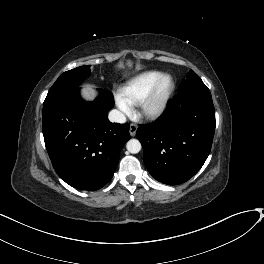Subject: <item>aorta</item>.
<instances>
[{
	"instance_id": "1",
	"label": "aorta",
	"mask_w": 264,
	"mask_h": 264,
	"mask_svg": "<svg viewBox=\"0 0 264 264\" xmlns=\"http://www.w3.org/2000/svg\"><path fill=\"white\" fill-rule=\"evenodd\" d=\"M126 148L128 152L136 154L141 150V143L137 139H130L126 144Z\"/></svg>"
}]
</instances>
